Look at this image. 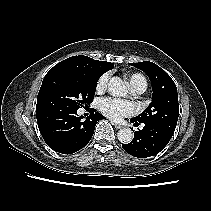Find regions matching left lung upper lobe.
<instances>
[{
	"instance_id": "1",
	"label": "left lung upper lobe",
	"mask_w": 211,
	"mask_h": 211,
	"mask_svg": "<svg viewBox=\"0 0 211 211\" xmlns=\"http://www.w3.org/2000/svg\"><path fill=\"white\" fill-rule=\"evenodd\" d=\"M145 72L152 84L153 94L149 106L131 120L157 125L174 133L179 116L177 88L172 78L155 63H130Z\"/></svg>"
}]
</instances>
